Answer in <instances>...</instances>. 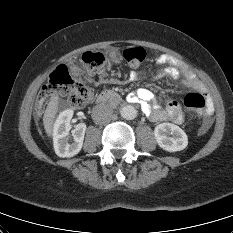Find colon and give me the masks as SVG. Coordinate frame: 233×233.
<instances>
[{
	"label": "colon",
	"instance_id": "obj_1",
	"mask_svg": "<svg viewBox=\"0 0 233 233\" xmlns=\"http://www.w3.org/2000/svg\"><path fill=\"white\" fill-rule=\"evenodd\" d=\"M117 56L131 66H138L145 59L146 51L142 47H128L120 50ZM81 61L87 70L94 74L103 66L105 58L99 52H86L82 55ZM55 96L65 97L71 105L80 108L91 101L93 91L74 78L66 66H60L51 74L48 83L40 90L36 109L44 112ZM184 105L189 111L201 114L206 107L205 96L198 92L189 93L184 98Z\"/></svg>",
	"mask_w": 233,
	"mask_h": 233
}]
</instances>
